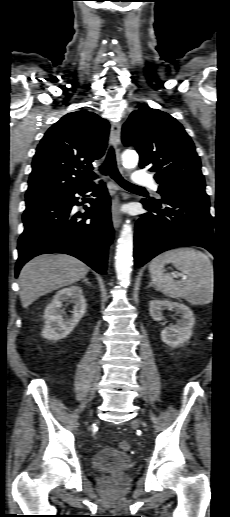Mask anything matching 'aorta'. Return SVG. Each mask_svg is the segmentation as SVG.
I'll list each match as a JSON object with an SVG mask.
<instances>
[{
	"instance_id": "obj_1",
	"label": "aorta",
	"mask_w": 230,
	"mask_h": 517,
	"mask_svg": "<svg viewBox=\"0 0 230 517\" xmlns=\"http://www.w3.org/2000/svg\"><path fill=\"white\" fill-rule=\"evenodd\" d=\"M138 154L132 150L122 153V164L126 169H133L138 164ZM133 231L130 220L123 224L116 246L115 270L120 284L127 287L130 284L133 260Z\"/></svg>"
}]
</instances>
